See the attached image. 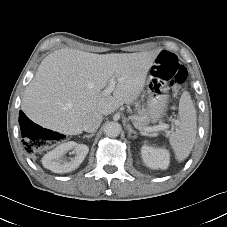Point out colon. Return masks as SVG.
<instances>
[{"instance_id":"1","label":"colon","mask_w":227,"mask_h":227,"mask_svg":"<svg viewBox=\"0 0 227 227\" xmlns=\"http://www.w3.org/2000/svg\"><path fill=\"white\" fill-rule=\"evenodd\" d=\"M152 74L168 82L173 92L177 93L187 79L188 72L174 54L164 51L156 58ZM27 132V140L24 141L23 147L28 153L43 149L51 137L50 131L37 126H29Z\"/></svg>"}]
</instances>
